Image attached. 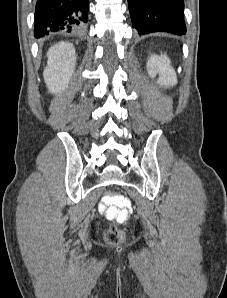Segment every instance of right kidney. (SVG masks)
<instances>
[{"label":"right kidney","instance_id":"right-kidney-1","mask_svg":"<svg viewBox=\"0 0 227 298\" xmlns=\"http://www.w3.org/2000/svg\"><path fill=\"white\" fill-rule=\"evenodd\" d=\"M47 57L43 77L48 91L52 94L62 93L75 70V48L72 43L61 41L50 47Z\"/></svg>","mask_w":227,"mask_h":298}]
</instances>
